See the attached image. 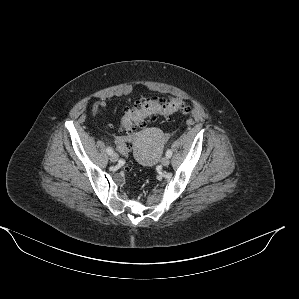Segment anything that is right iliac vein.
Segmentation results:
<instances>
[{"mask_svg": "<svg viewBox=\"0 0 299 299\" xmlns=\"http://www.w3.org/2000/svg\"><path fill=\"white\" fill-rule=\"evenodd\" d=\"M118 159H119V156H118V154L117 153H112V154H110V160L112 161V162H117L118 161Z\"/></svg>", "mask_w": 299, "mask_h": 299, "instance_id": "1", "label": "right iliac vein"}]
</instances>
